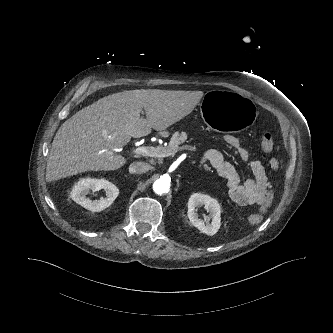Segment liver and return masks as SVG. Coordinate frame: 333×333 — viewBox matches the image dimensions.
<instances>
[{
	"label": "liver",
	"mask_w": 333,
	"mask_h": 333,
	"mask_svg": "<svg viewBox=\"0 0 333 333\" xmlns=\"http://www.w3.org/2000/svg\"><path fill=\"white\" fill-rule=\"evenodd\" d=\"M202 91L128 90L105 96L67 119L49 153L48 182L87 171L117 170L127 159L116 150L131 137L166 130L195 108ZM146 119L140 116L142 109Z\"/></svg>",
	"instance_id": "liver-1"
}]
</instances>
